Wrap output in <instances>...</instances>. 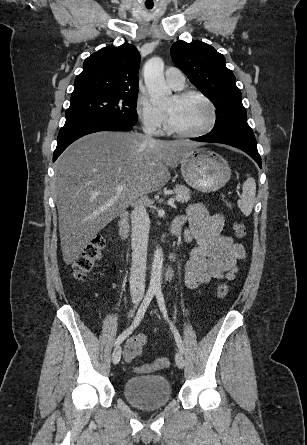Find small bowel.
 <instances>
[{
  "mask_svg": "<svg viewBox=\"0 0 307 445\" xmlns=\"http://www.w3.org/2000/svg\"><path fill=\"white\" fill-rule=\"evenodd\" d=\"M224 215L211 214L201 203L189 205L184 215L177 217L171 226L193 245L185 266V284L196 289L212 280H232L238 271V261L246 257L242 244L222 234ZM148 338L144 334L131 336L125 344L123 357L131 362L142 355Z\"/></svg>",
  "mask_w": 307,
  "mask_h": 445,
  "instance_id": "c3829d8e",
  "label": "small bowel"
}]
</instances>
